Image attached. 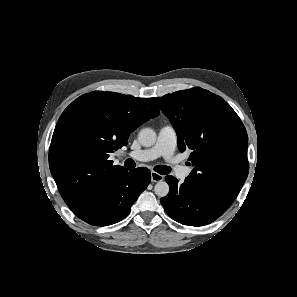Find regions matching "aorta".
Returning a JSON list of instances; mask_svg holds the SVG:
<instances>
[{
  "mask_svg": "<svg viewBox=\"0 0 297 297\" xmlns=\"http://www.w3.org/2000/svg\"><path fill=\"white\" fill-rule=\"evenodd\" d=\"M138 140L144 147H150L156 142V132L151 128H143L138 134ZM158 197H165L169 193V185L165 181H158L154 187Z\"/></svg>",
  "mask_w": 297,
  "mask_h": 297,
  "instance_id": "obj_1",
  "label": "aorta"
}]
</instances>
